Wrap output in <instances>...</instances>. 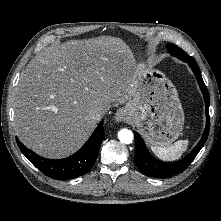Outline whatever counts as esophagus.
<instances>
[{"instance_id": "34e87169", "label": "esophagus", "mask_w": 221, "mask_h": 221, "mask_svg": "<svg viewBox=\"0 0 221 221\" xmlns=\"http://www.w3.org/2000/svg\"><path fill=\"white\" fill-rule=\"evenodd\" d=\"M115 120L117 122H123L127 120V112L125 109H119L117 110V112L115 113Z\"/></svg>"}]
</instances>
